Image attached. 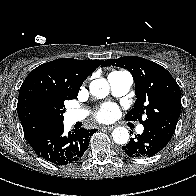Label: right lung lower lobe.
Here are the masks:
<instances>
[{"label":"right lung lower lobe","instance_id":"98d812e1","mask_svg":"<svg viewBox=\"0 0 196 196\" xmlns=\"http://www.w3.org/2000/svg\"><path fill=\"white\" fill-rule=\"evenodd\" d=\"M96 129H79L64 134L61 124L37 137L29 144L38 156L56 165L78 161L89 146V140Z\"/></svg>","mask_w":196,"mask_h":196}]
</instances>
